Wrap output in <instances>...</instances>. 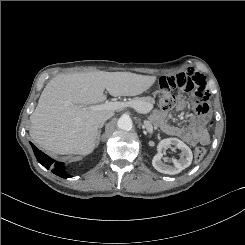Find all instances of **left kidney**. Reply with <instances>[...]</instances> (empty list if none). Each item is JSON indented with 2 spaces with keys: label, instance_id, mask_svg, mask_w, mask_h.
<instances>
[{
  "label": "left kidney",
  "instance_id": "left-kidney-1",
  "mask_svg": "<svg viewBox=\"0 0 245 245\" xmlns=\"http://www.w3.org/2000/svg\"><path fill=\"white\" fill-rule=\"evenodd\" d=\"M170 145L176 146L181 150V157L179 159H172L173 166H168L163 163L161 150L167 148ZM193 154L191 149L181 140L177 138L163 139L158 144V153L152 159L153 167L164 174L174 175L180 173L185 168L189 167L192 163Z\"/></svg>",
  "mask_w": 245,
  "mask_h": 245
}]
</instances>
